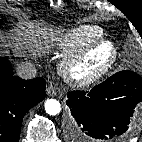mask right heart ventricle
Segmentation results:
<instances>
[{"label": "right heart ventricle", "mask_w": 142, "mask_h": 142, "mask_svg": "<svg viewBox=\"0 0 142 142\" xmlns=\"http://www.w3.org/2000/svg\"><path fill=\"white\" fill-rule=\"evenodd\" d=\"M103 35V31L99 27L83 25L65 36L59 49L64 55L72 54L101 39Z\"/></svg>", "instance_id": "e07e8e85"}]
</instances>
